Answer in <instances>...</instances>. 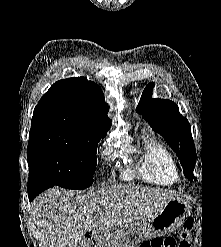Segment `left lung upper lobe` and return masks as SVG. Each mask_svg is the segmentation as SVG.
I'll return each instance as SVG.
<instances>
[{
    "label": "left lung upper lobe",
    "instance_id": "obj_1",
    "mask_svg": "<svg viewBox=\"0 0 221 247\" xmlns=\"http://www.w3.org/2000/svg\"><path fill=\"white\" fill-rule=\"evenodd\" d=\"M154 83L144 89L136 108L142 113L152 129L160 134L176 152L189 180H196L193 170L196 162V151L188 120L179 113L178 106L171 100L153 99Z\"/></svg>",
    "mask_w": 221,
    "mask_h": 247
}]
</instances>
